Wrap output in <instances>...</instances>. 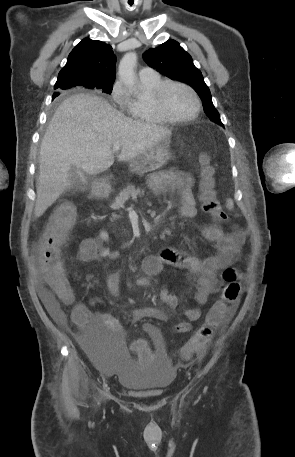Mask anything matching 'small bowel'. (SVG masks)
I'll return each instance as SVG.
<instances>
[{
  "label": "small bowel",
  "instance_id": "1",
  "mask_svg": "<svg viewBox=\"0 0 295 457\" xmlns=\"http://www.w3.org/2000/svg\"><path fill=\"white\" fill-rule=\"evenodd\" d=\"M149 185L155 192L177 193L181 199L180 213L182 216L194 217L197 214L193 196V180L189 174L167 170L156 175ZM202 233L206 239L214 242L216 252L212 256L199 259L175 248L167 247L157 255L146 257L142 264V271L149 276L158 275L168 267L188 273L195 281L194 298L198 305L206 304L208 298L218 291L219 272L229 268L237 261L245 242V234L235 225L229 232H224L218 225H209L202 228ZM109 239V234L105 229H102L95 238L83 239L77 252L78 260L90 262L97 258L113 257L115 253L110 249ZM44 281L48 285L45 275ZM106 283L110 294L115 299H119V274L115 271L111 272ZM51 291L41 288V299L48 312L56 320L64 322L65 317ZM160 300L171 309L178 305V296L171 293L168 288L161 291ZM128 310L130 315L136 319L153 318L160 321L166 319L164 310L157 306H132ZM184 314L186 320L175 326L178 333L189 332L192 329V323L200 319L201 310L199 307H194L187 309ZM73 319L87 338H99L105 333L119 335L122 332V325L110 313H93L83 304L75 308ZM144 330L151 337L154 345H163L161 334L155 325L145 323ZM203 355L204 351L197 354L196 358H201Z\"/></svg>",
  "mask_w": 295,
  "mask_h": 457
}]
</instances>
